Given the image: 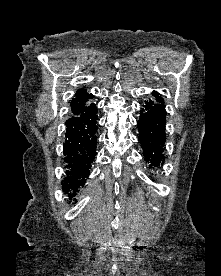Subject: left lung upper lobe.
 <instances>
[{"mask_svg":"<svg viewBox=\"0 0 221 276\" xmlns=\"http://www.w3.org/2000/svg\"><path fill=\"white\" fill-rule=\"evenodd\" d=\"M152 95L154 96V97H156V101L158 102V103H161V104H163L164 103V101H163V98L160 96V94L158 93V92H153L152 93Z\"/></svg>","mask_w":221,"mask_h":276,"instance_id":"obj_1","label":"left lung upper lobe"}]
</instances>
